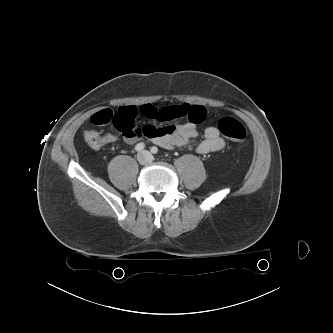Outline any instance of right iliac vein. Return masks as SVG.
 <instances>
[{
	"label": "right iliac vein",
	"mask_w": 333,
	"mask_h": 333,
	"mask_svg": "<svg viewBox=\"0 0 333 333\" xmlns=\"http://www.w3.org/2000/svg\"><path fill=\"white\" fill-rule=\"evenodd\" d=\"M149 158L147 156V154L145 152L139 153L137 155V161L141 164V165H145L148 162Z\"/></svg>",
	"instance_id": "obj_1"
}]
</instances>
